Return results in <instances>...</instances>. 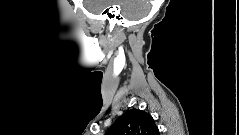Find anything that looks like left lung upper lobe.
I'll use <instances>...</instances> for the list:
<instances>
[{"label": "left lung upper lobe", "instance_id": "obj_1", "mask_svg": "<svg viewBox=\"0 0 239 135\" xmlns=\"http://www.w3.org/2000/svg\"><path fill=\"white\" fill-rule=\"evenodd\" d=\"M107 135H159V130L149 113L131 109L114 122Z\"/></svg>", "mask_w": 239, "mask_h": 135}]
</instances>
